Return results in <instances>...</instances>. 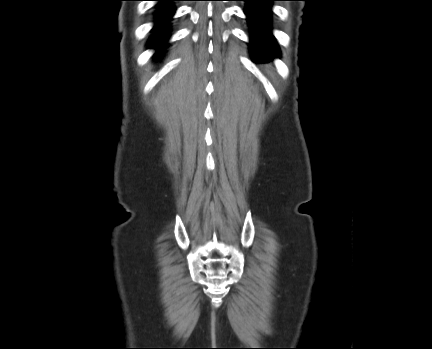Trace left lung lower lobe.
Returning a JSON list of instances; mask_svg holds the SVG:
<instances>
[{
    "label": "left lung lower lobe",
    "instance_id": "left-lung-lower-lobe-1",
    "mask_svg": "<svg viewBox=\"0 0 432 349\" xmlns=\"http://www.w3.org/2000/svg\"><path fill=\"white\" fill-rule=\"evenodd\" d=\"M246 1L245 14L253 30L251 55L254 61L268 62L280 56L279 48L269 29L270 3L276 0Z\"/></svg>",
    "mask_w": 432,
    "mask_h": 349
}]
</instances>
